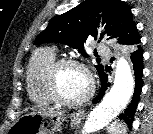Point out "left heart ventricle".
<instances>
[{
    "label": "left heart ventricle",
    "mask_w": 153,
    "mask_h": 134,
    "mask_svg": "<svg viewBox=\"0 0 153 134\" xmlns=\"http://www.w3.org/2000/svg\"><path fill=\"white\" fill-rule=\"evenodd\" d=\"M58 90L69 100H78L84 97L89 84L85 73L76 67H64L58 75Z\"/></svg>",
    "instance_id": "1"
}]
</instances>
